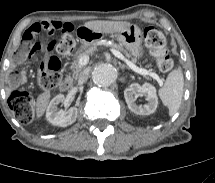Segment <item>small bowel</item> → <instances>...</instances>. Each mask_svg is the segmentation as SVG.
I'll list each match as a JSON object with an SVG mask.
<instances>
[{
    "instance_id": "c3829d8e",
    "label": "small bowel",
    "mask_w": 215,
    "mask_h": 183,
    "mask_svg": "<svg viewBox=\"0 0 215 183\" xmlns=\"http://www.w3.org/2000/svg\"><path fill=\"white\" fill-rule=\"evenodd\" d=\"M65 29L72 30V26L69 23H65L58 20H51V21H42L36 22L32 24L24 33L23 40L27 43L31 42L36 36L42 33L54 34L55 32L62 31ZM22 49V47H21ZM24 82V77L21 75H15L11 79V87L16 88L20 84Z\"/></svg>"
}]
</instances>
